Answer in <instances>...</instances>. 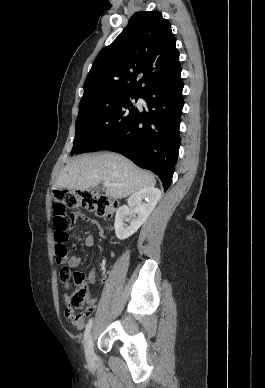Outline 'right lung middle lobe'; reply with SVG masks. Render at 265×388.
<instances>
[{
	"label": "right lung middle lobe",
	"instance_id": "1",
	"mask_svg": "<svg viewBox=\"0 0 265 388\" xmlns=\"http://www.w3.org/2000/svg\"><path fill=\"white\" fill-rule=\"evenodd\" d=\"M130 97L137 100L140 95L104 90L82 98L71 154L101 150L136 112Z\"/></svg>",
	"mask_w": 265,
	"mask_h": 388
}]
</instances>
